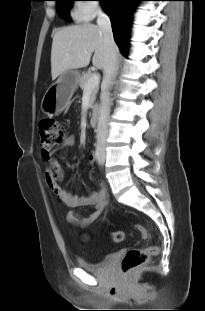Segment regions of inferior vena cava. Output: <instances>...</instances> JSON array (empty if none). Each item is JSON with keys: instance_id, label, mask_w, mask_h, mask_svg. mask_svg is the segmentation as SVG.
Returning a JSON list of instances; mask_svg holds the SVG:
<instances>
[{"instance_id": "obj_1", "label": "inferior vena cava", "mask_w": 205, "mask_h": 311, "mask_svg": "<svg viewBox=\"0 0 205 311\" xmlns=\"http://www.w3.org/2000/svg\"><path fill=\"white\" fill-rule=\"evenodd\" d=\"M97 25L103 33L105 48V66L103 69V81L100 95V107L97 124V144L102 151L105 150L108 137V119L110 113V93L109 89L113 84V79L117 71V46L114 41L111 22L109 16L103 11L98 12Z\"/></svg>"}]
</instances>
